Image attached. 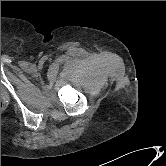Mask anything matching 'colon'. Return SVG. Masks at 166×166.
I'll list each match as a JSON object with an SVG mask.
<instances>
[{
  "instance_id": "obj_1",
  "label": "colon",
  "mask_w": 166,
  "mask_h": 166,
  "mask_svg": "<svg viewBox=\"0 0 166 166\" xmlns=\"http://www.w3.org/2000/svg\"><path fill=\"white\" fill-rule=\"evenodd\" d=\"M2 106H3V102L1 101V108H2Z\"/></svg>"
}]
</instances>
